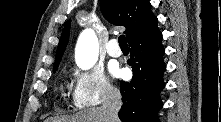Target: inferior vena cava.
I'll use <instances>...</instances> for the list:
<instances>
[{"instance_id": "1", "label": "inferior vena cava", "mask_w": 221, "mask_h": 122, "mask_svg": "<svg viewBox=\"0 0 221 122\" xmlns=\"http://www.w3.org/2000/svg\"><path fill=\"white\" fill-rule=\"evenodd\" d=\"M122 106L121 94L118 90L106 87L104 89L103 110L107 122H118V112Z\"/></svg>"}]
</instances>
